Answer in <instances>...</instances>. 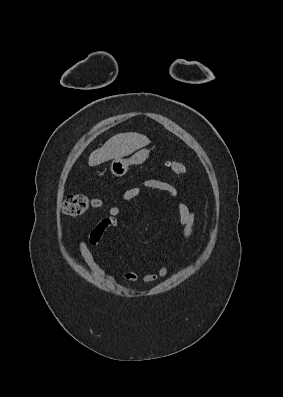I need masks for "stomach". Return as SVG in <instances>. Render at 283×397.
Listing matches in <instances>:
<instances>
[{
    "instance_id": "stomach-1",
    "label": "stomach",
    "mask_w": 283,
    "mask_h": 397,
    "mask_svg": "<svg viewBox=\"0 0 283 397\" xmlns=\"http://www.w3.org/2000/svg\"><path fill=\"white\" fill-rule=\"evenodd\" d=\"M149 156V150L143 149L136 152L130 159L116 158L112 161L110 170L113 175L124 176L130 164H142Z\"/></svg>"
}]
</instances>
